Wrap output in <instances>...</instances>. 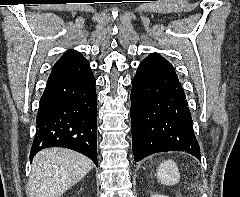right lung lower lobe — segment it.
<instances>
[{
    "label": "right lung lower lobe",
    "instance_id": "right-lung-lower-lobe-1",
    "mask_svg": "<svg viewBox=\"0 0 240 197\" xmlns=\"http://www.w3.org/2000/svg\"><path fill=\"white\" fill-rule=\"evenodd\" d=\"M97 98L90 65L52 71L40 99L30 158L48 147L69 148L97 165Z\"/></svg>",
    "mask_w": 240,
    "mask_h": 197
}]
</instances>
